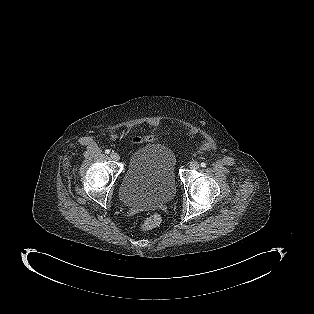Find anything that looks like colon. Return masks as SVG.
Instances as JSON below:
<instances>
[{
	"instance_id": "5ec220e1",
	"label": "colon",
	"mask_w": 314,
	"mask_h": 314,
	"mask_svg": "<svg viewBox=\"0 0 314 314\" xmlns=\"http://www.w3.org/2000/svg\"><path fill=\"white\" fill-rule=\"evenodd\" d=\"M161 222V218L159 215L157 214H153L151 216H149L142 224V227L145 229V230H151L157 226H159Z\"/></svg>"
}]
</instances>
